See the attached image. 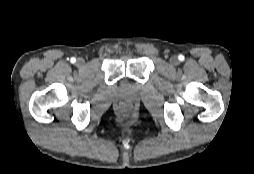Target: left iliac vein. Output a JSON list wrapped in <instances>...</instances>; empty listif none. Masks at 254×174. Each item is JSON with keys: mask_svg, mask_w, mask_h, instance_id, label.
<instances>
[{"mask_svg": "<svg viewBox=\"0 0 254 174\" xmlns=\"http://www.w3.org/2000/svg\"><path fill=\"white\" fill-rule=\"evenodd\" d=\"M170 63H171L172 65H178V64H179V60H178V58H177L176 56H172V57L170 58Z\"/></svg>", "mask_w": 254, "mask_h": 174, "instance_id": "obj_1", "label": "left iliac vein"}]
</instances>
